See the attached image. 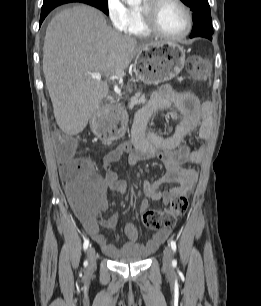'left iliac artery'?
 Returning a JSON list of instances; mask_svg holds the SVG:
<instances>
[{
    "label": "left iliac artery",
    "instance_id": "obj_1",
    "mask_svg": "<svg viewBox=\"0 0 261 306\" xmlns=\"http://www.w3.org/2000/svg\"><path fill=\"white\" fill-rule=\"evenodd\" d=\"M170 245H171L172 250L176 252V249H177L176 242L171 240ZM173 263H176V260H173Z\"/></svg>",
    "mask_w": 261,
    "mask_h": 306
}]
</instances>
